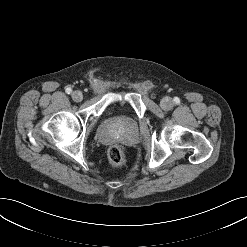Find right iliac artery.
Masks as SVG:
<instances>
[{
    "label": "right iliac artery",
    "instance_id": "82829eb1",
    "mask_svg": "<svg viewBox=\"0 0 247 247\" xmlns=\"http://www.w3.org/2000/svg\"><path fill=\"white\" fill-rule=\"evenodd\" d=\"M66 93H67V94H71V93H72V89H71V88H67V89H66Z\"/></svg>",
    "mask_w": 247,
    "mask_h": 247
}]
</instances>
